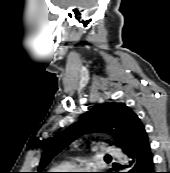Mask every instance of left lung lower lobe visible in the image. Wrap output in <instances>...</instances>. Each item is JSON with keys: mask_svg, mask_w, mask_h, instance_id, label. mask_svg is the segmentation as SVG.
<instances>
[{"mask_svg": "<svg viewBox=\"0 0 170 173\" xmlns=\"http://www.w3.org/2000/svg\"><path fill=\"white\" fill-rule=\"evenodd\" d=\"M125 154L129 159L128 165L123 167L128 169L127 173H155L149 141L140 144Z\"/></svg>", "mask_w": 170, "mask_h": 173, "instance_id": "obj_1", "label": "left lung lower lobe"}]
</instances>
